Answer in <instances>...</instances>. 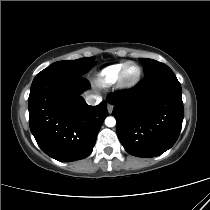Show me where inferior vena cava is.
I'll return each mask as SVG.
<instances>
[{
  "label": "inferior vena cava",
  "instance_id": "inferior-vena-cava-1",
  "mask_svg": "<svg viewBox=\"0 0 210 210\" xmlns=\"http://www.w3.org/2000/svg\"><path fill=\"white\" fill-rule=\"evenodd\" d=\"M85 100H86V103L91 106H94L100 103V98L94 95L86 96Z\"/></svg>",
  "mask_w": 210,
  "mask_h": 210
}]
</instances>
